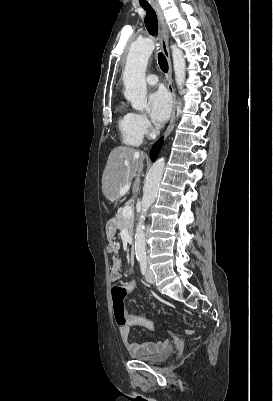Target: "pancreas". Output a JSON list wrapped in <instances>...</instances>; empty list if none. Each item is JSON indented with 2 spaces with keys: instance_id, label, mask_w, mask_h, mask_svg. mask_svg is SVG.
Listing matches in <instances>:
<instances>
[{
  "instance_id": "cf45deb5",
  "label": "pancreas",
  "mask_w": 273,
  "mask_h": 401,
  "mask_svg": "<svg viewBox=\"0 0 273 401\" xmlns=\"http://www.w3.org/2000/svg\"><path fill=\"white\" fill-rule=\"evenodd\" d=\"M117 229L119 231H123V229H128L129 235H132L133 233V217H124L122 211L120 213H117L116 215V223H115Z\"/></svg>"
}]
</instances>
